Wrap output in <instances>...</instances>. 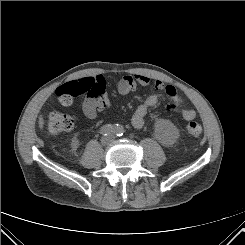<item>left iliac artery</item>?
<instances>
[{
  "mask_svg": "<svg viewBox=\"0 0 245 245\" xmlns=\"http://www.w3.org/2000/svg\"><path fill=\"white\" fill-rule=\"evenodd\" d=\"M114 133L116 136L120 137L124 134V128L121 125H116L114 128Z\"/></svg>",
  "mask_w": 245,
  "mask_h": 245,
  "instance_id": "obj_1",
  "label": "left iliac artery"
}]
</instances>
